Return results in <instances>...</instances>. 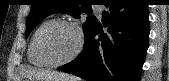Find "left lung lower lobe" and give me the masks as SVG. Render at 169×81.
<instances>
[{
    "instance_id": "left-lung-lower-lobe-1",
    "label": "left lung lower lobe",
    "mask_w": 169,
    "mask_h": 81,
    "mask_svg": "<svg viewBox=\"0 0 169 81\" xmlns=\"http://www.w3.org/2000/svg\"><path fill=\"white\" fill-rule=\"evenodd\" d=\"M101 5L107 8L102 22L108 32L95 24L82 52L58 69L87 81H139L148 49V5L143 0H104Z\"/></svg>"
}]
</instances>
